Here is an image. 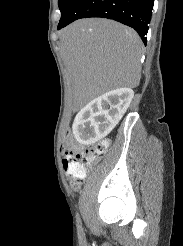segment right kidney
Wrapping results in <instances>:
<instances>
[{"instance_id":"right-kidney-1","label":"right kidney","mask_w":183,"mask_h":246,"mask_svg":"<svg viewBox=\"0 0 183 246\" xmlns=\"http://www.w3.org/2000/svg\"><path fill=\"white\" fill-rule=\"evenodd\" d=\"M133 97L131 88H119L87 104L74 119L72 129L76 140L90 145L105 138L119 123Z\"/></svg>"}]
</instances>
